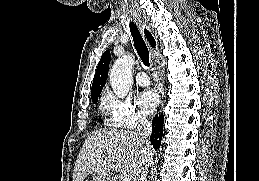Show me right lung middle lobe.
<instances>
[{
	"instance_id": "1",
	"label": "right lung middle lobe",
	"mask_w": 259,
	"mask_h": 181,
	"mask_svg": "<svg viewBox=\"0 0 259 181\" xmlns=\"http://www.w3.org/2000/svg\"><path fill=\"white\" fill-rule=\"evenodd\" d=\"M98 97H99V96H96V97H93V98H92V102H93V104L97 103V101H98Z\"/></svg>"
}]
</instances>
